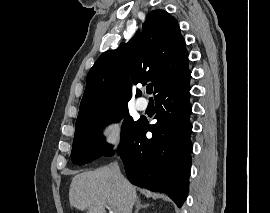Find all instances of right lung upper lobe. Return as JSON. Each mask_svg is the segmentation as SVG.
<instances>
[{
    "label": "right lung upper lobe",
    "mask_w": 270,
    "mask_h": 213,
    "mask_svg": "<svg viewBox=\"0 0 270 213\" xmlns=\"http://www.w3.org/2000/svg\"><path fill=\"white\" fill-rule=\"evenodd\" d=\"M128 69L134 84L152 82L154 93L188 70L185 40L174 17L164 10L152 11L141 33L98 58L87 75L76 122L128 104L132 97Z\"/></svg>",
    "instance_id": "obj_1"
}]
</instances>
